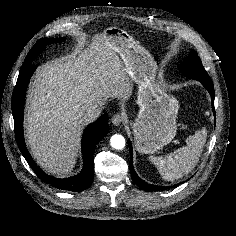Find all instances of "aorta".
<instances>
[{
    "mask_svg": "<svg viewBox=\"0 0 236 236\" xmlns=\"http://www.w3.org/2000/svg\"><path fill=\"white\" fill-rule=\"evenodd\" d=\"M110 144L114 149L121 150L125 147V138L122 135L115 134L111 137Z\"/></svg>",
    "mask_w": 236,
    "mask_h": 236,
    "instance_id": "1",
    "label": "aorta"
}]
</instances>
